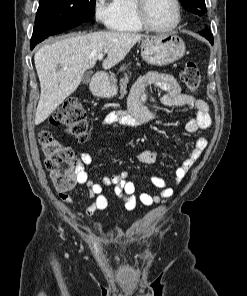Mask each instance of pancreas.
<instances>
[{
  "label": "pancreas",
  "instance_id": "1",
  "mask_svg": "<svg viewBox=\"0 0 247 296\" xmlns=\"http://www.w3.org/2000/svg\"><path fill=\"white\" fill-rule=\"evenodd\" d=\"M129 75L131 76V73H129ZM129 83V76L127 74H125V76L120 79V94L124 95L126 93V88H127V84Z\"/></svg>",
  "mask_w": 247,
  "mask_h": 296
}]
</instances>
